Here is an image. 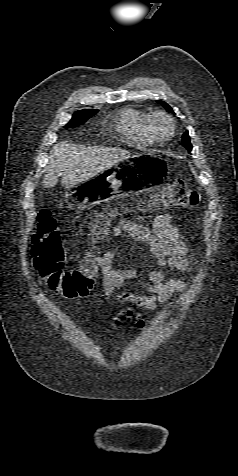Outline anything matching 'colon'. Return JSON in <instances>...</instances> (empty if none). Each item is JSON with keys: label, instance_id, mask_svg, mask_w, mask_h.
Instances as JSON below:
<instances>
[{"label": "colon", "instance_id": "1", "mask_svg": "<svg viewBox=\"0 0 238 476\" xmlns=\"http://www.w3.org/2000/svg\"><path fill=\"white\" fill-rule=\"evenodd\" d=\"M199 203L198 192L189 187L182 179L167 183L161 192L151 198L149 207L154 210L168 208H188ZM109 222L103 215L91 225L90 231L99 238ZM32 256L34 266L48 286L65 294L82 292L91 289L95 283L96 268L93 266L66 269L65 250L55 218L48 210L38 214L36 230L32 238ZM138 326L143 325L138 320Z\"/></svg>", "mask_w": 238, "mask_h": 476}]
</instances>
